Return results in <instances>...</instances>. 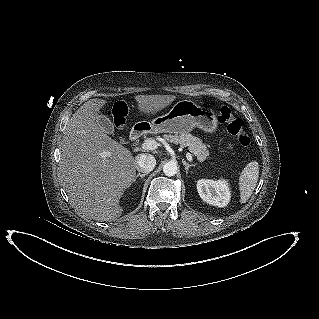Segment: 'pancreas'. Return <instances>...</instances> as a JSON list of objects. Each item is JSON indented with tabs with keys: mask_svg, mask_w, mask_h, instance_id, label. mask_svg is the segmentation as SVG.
<instances>
[{
	"mask_svg": "<svg viewBox=\"0 0 319 319\" xmlns=\"http://www.w3.org/2000/svg\"><path fill=\"white\" fill-rule=\"evenodd\" d=\"M167 141L179 144L181 147H188L189 151L197 158L199 162H203L209 158V151L207 145L198 137L189 133L181 135H164Z\"/></svg>",
	"mask_w": 319,
	"mask_h": 319,
	"instance_id": "pancreas-1",
	"label": "pancreas"
}]
</instances>
